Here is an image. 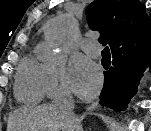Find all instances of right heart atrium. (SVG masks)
Instances as JSON below:
<instances>
[{"instance_id":"1","label":"right heart atrium","mask_w":151,"mask_h":131,"mask_svg":"<svg viewBox=\"0 0 151 131\" xmlns=\"http://www.w3.org/2000/svg\"><path fill=\"white\" fill-rule=\"evenodd\" d=\"M40 66L45 94L50 98L69 95L65 58L55 53H44L41 57Z\"/></svg>"}]
</instances>
